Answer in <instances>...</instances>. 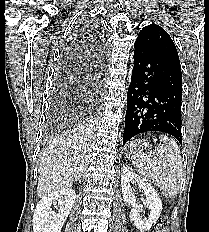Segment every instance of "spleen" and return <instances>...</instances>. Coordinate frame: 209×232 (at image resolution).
Returning <instances> with one entry per match:
<instances>
[{"instance_id":"obj_1","label":"spleen","mask_w":209,"mask_h":232,"mask_svg":"<svg viewBox=\"0 0 209 232\" xmlns=\"http://www.w3.org/2000/svg\"><path fill=\"white\" fill-rule=\"evenodd\" d=\"M159 138L160 144L155 149L156 158L151 159L143 153H131V159L138 173L152 179L166 197L174 199L183 176L182 157L173 139L165 135Z\"/></svg>"}]
</instances>
